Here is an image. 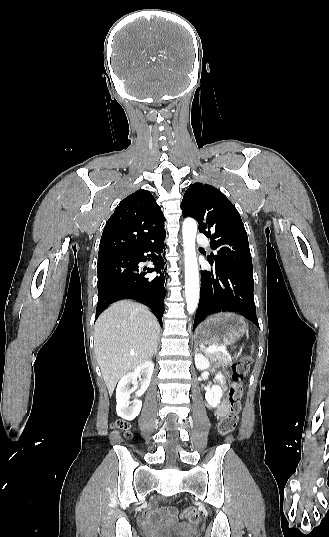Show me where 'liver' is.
Wrapping results in <instances>:
<instances>
[{
  "label": "liver",
  "instance_id": "6515ba94",
  "mask_svg": "<svg viewBox=\"0 0 329 537\" xmlns=\"http://www.w3.org/2000/svg\"><path fill=\"white\" fill-rule=\"evenodd\" d=\"M159 332L156 317L134 301L114 303L99 316L94 349L110 396L121 377L151 359Z\"/></svg>",
  "mask_w": 329,
  "mask_h": 537
}]
</instances>
